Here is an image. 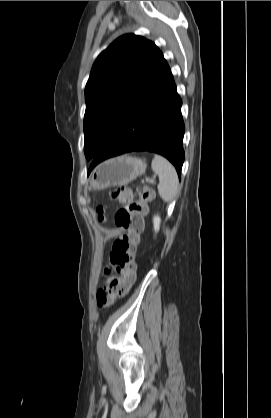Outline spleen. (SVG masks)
<instances>
[{
  "mask_svg": "<svg viewBox=\"0 0 271 418\" xmlns=\"http://www.w3.org/2000/svg\"><path fill=\"white\" fill-rule=\"evenodd\" d=\"M152 169L159 177L158 193L165 202H171L179 186V180L173 165L164 157L155 155Z\"/></svg>",
  "mask_w": 271,
  "mask_h": 418,
  "instance_id": "obj_1",
  "label": "spleen"
}]
</instances>
